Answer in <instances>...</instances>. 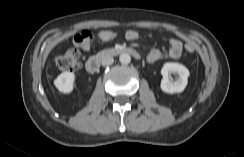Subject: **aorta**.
I'll return each mask as SVG.
<instances>
[{
	"instance_id": "obj_1",
	"label": "aorta",
	"mask_w": 244,
	"mask_h": 157,
	"mask_svg": "<svg viewBox=\"0 0 244 157\" xmlns=\"http://www.w3.org/2000/svg\"><path fill=\"white\" fill-rule=\"evenodd\" d=\"M119 61L123 65H127L131 62V57L128 53H122L119 56Z\"/></svg>"
}]
</instances>
